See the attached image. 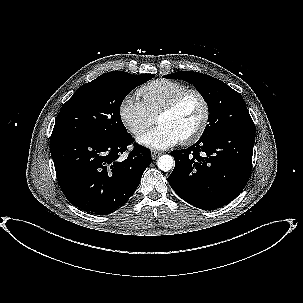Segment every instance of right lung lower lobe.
Masks as SVG:
<instances>
[{"instance_id":"98d812e1","label":"right lung lower lobe","mask_w":303,"mask_h":303,"mask_svg":"<svg viewBox=\"0 0 303 303\" xmlns=\"http://www.w3.org/2000/svg\"><path fill=\"white\" fill-rule=\"evenodd\" d=\"M134 141L83 134L54 136L50 152L57 180L68 201L81 210L104 215L126 203L151 163L148 148L136 145L126 159L120 156Z\"/></svg>"}]
</instances>
